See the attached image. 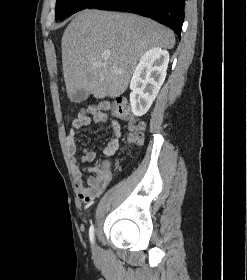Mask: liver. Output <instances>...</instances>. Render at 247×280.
Here are the masks:
<instances>
[{"instance_id":"liver-1","label":"liver","mask_w":247,"mask_h":280,"mask_svg":"<svg viewBox=\"0 0 247 280\" xmlns=\"http://www.w3.org/2000/svg\"><path fill=\"white\" fill-rule=\"evenodd\" d=\"M174 45L173 32L151 19L83 10L69 23L61 42L68 98L73 101L80 90L96 99L116 98L126 91L137 62L147 50L172 49Z\"/></svg>"}]
</instances>
